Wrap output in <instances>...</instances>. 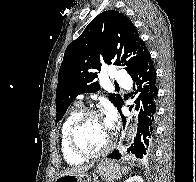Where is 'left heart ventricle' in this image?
Masks as SVG:
<instances>
[{"instance_id": "b2bd125f", "label": "left heart ventricle", "mask_w": 196, "mask_h": 182, "mask_svg": "<svg viewBox=\"0 0 196 182\" xmlns=\"http://www.w3.org/2000/svg\"><path fill=\"white\" fill-rule=\"evenodd\" d=\"M110 135V130L102 117H91L81 126L77 142L83 150L96 152L106 146Z\"/></svg>"}]
</instances>
